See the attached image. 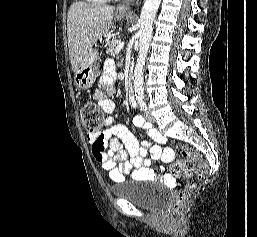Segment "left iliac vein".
Instances as JSON below:
<instances>
[{
  "instance_id": "obj_1",
  "label": "left iliac vein",
  "mask_w": 257,
  "mask_h": 237,
  "mask_svg": "<svg viewBox=\"0 0 257 237\" xmlns=\"http://www.w3.org/2000/svg\"><path fill=\"white\" fill-rule=\"evenodd\" d=\"M145 116H146V119H147L149 122H154V121H155V119H154V117L152 116L150 110H147V111L145 112Z\"/></svg>"
}]
</instances>
